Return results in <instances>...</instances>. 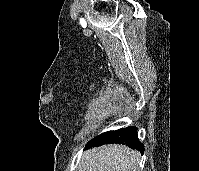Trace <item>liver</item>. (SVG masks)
Returning <instances> with one entry per match:
<instances>
[{
    "label": "liver",
    "mask_w": 199,
    "mask_h": 171,
    "mask_svg": "<svg viewBox=\"0 0 199 171\" xmlns=\"http://www.w3.org/2000/svg\"><path fill=\"white\" fill-rule=\"evenodd\" d=\"M140 153L119 144L104 145L86 151L78 171H136Z\"/></svg>",
    "instance_id": "obj_1"
}]
</instances>
